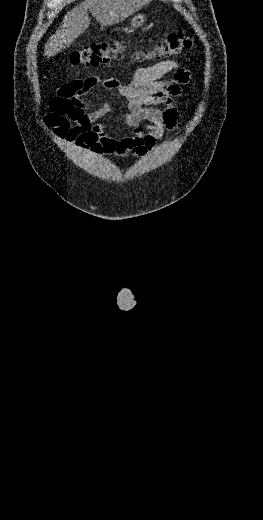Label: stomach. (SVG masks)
<instances>
[{
	"label": "stomach",
	"instance_id": "1",
	"mask_svg": "<svg viewBox=\"0 0 263 520\" xmlns=\"http://www.w3.org/2000/svg\"><path fill=\"white\" fill-rule=\"evenodd\" d=\"M146 21V17L144 14H136L133 15L130 19V28L131 29H138L141 27Z\"/></svg>",
	"mask_w": 263,
	"mask_h": 520
}]
</instances>
